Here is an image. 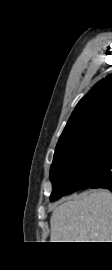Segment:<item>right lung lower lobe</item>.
Masks as SVG:
<instances>
[{"label": "right lung lower lobe", "mask_w": 112, "mask_h": 270, "mask_svg": "<svg viewBox=\"0 0 112 270\" xmlns=\"http://www.w3.org/2000/svg\"><path fill=\"white\" fill-rule=\"evenodd\" d=\"M80 188H106L112 191V143L105 153L86 169Z\"/></svg>", "instance_id": "1"}]
</instances>
